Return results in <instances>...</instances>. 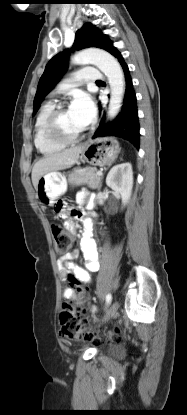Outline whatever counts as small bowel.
<instances>
[{"label":"small bowel","mask_w":187,"mask_h":415,"mask_svg":"<svg viewBox=\"0 0 187 415\" xmlns=\"http://www.w3.org/2000/svg\"><path fill=\"white\" fill-rule=\"evenodd\" d=\"M80 200H86L84 192L81 193ZM73 215L82 218L86 228L90 229L91 223L89 217L83 216L78 212H73ZM65 226L71 231L75 230V224L72 220H67L65 222ZM81 251L85 259V268H82L74 263V259L79 256V251L74 250L59 258V274L62 279H66L68 276L72 275L81 283L89 284L91 282L90 273L96 272L99 269L97 246L95 241L91 238L89 231L81 240ZM62 294L65 299L73 302H79V296L73 287L64 288ZM92 312H96V308H93Z\"/></svg>","instance_id":"c3829d8e"}]
</instances>
